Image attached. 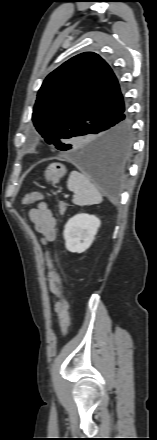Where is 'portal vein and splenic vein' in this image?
Masks as SVG:
<instances>
[{"instance_id":"1","label":"portal vein and splenic vein","mask_w":157,"mask_h":440,"mask_svg":"<svg viewBox=\"0 0 157 440\" xmlns=\"http://www.w3.org/2000/svg\"><path fill=\"white\" fill-rule=\"evenodd\" d=\"M68 197V195H65V198H67Z\"/></svg>"}]
</instances>
